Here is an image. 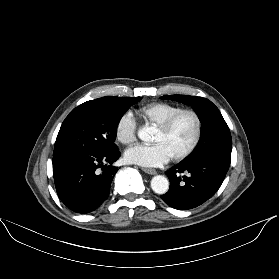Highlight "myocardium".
<instances>
[{"label": "myocardium", "instance_id": "1", "mask_svg": "<svg viewBox=\"0 0 279 279\" xmlns=\"http://www.w3.org/2000/svg\"><path fill=\"white\" fill-rule=\"evenodd\" d=\"M185 114L192 116V118L194 120V123H195L194 136H193L191 143L185 150H183L182 152L175 154L171 157L173 160H182V159L188 157L196 149V147L200 141L201 133H202V122H201L200 116L198 115V113L196 111H194L192 109H181L178 112L171 115L170 117H168L159 126H157V129L159 131L166 133L172 128V126L174 125L176 120Z\"/></svg>", "mask_w": 279, "mask_h": 279}]
</instances>
